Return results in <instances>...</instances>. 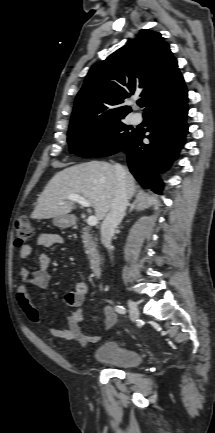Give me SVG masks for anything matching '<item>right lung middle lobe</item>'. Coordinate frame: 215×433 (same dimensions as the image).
<instances>
[{"label": "right lung middle lobe", "instance_id": "obj_1", "mask_svg": "<svg viewBox=\"0 0 215 433\" xmlns=\"http://www.w3.org/2000/svg\"><path fill=\"white\" fill-rule=\"evenodd\" d=\"M123 118L70 125V152L81 157H104L117 153L135 133L122 122Z\"/></svg>", "mask_w": 215, "mask_h": 433}]
</instances>
